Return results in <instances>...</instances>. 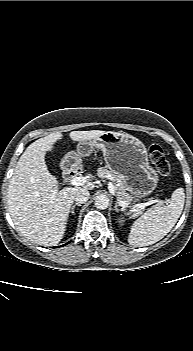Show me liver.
<instances>
[{"mask_svg":"<svg viewBox=\"0 0 193 351\" xmlns=\"http://www.w3.org/2000/svg\"><path fill=\"white\" fill-rule=\"evenodd\" d=\"M104 133L72 131L69 136L74 142H85ZM62 137L56 132L31 143L20 156L8 186L7 204L14 224L23 236L44 246H54L63 238L76 193L95 187L88 182L58 191L59 183L48 171L45 154Z\"/></svg>","mask_w":193,"mask_h":351,"instance_id":"liver-1","label":"liver"}]
</instances>
